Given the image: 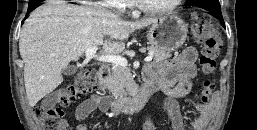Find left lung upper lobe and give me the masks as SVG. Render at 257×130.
<instances>
[{"label":"left lung upper lobe","mask_w":257,"mask_h":130,"mask_svg":"<svg viewBox=\"0 0 257 130\" xmlns=\"http://www.w3.org/2000/svg\"><path fill=\"white\" fill-rule=\"evenodd\" d=\"M186 5H196L202 8L220 7L218 0H187Z\"/></svg>","instance_id":"1"}]
</instances>
